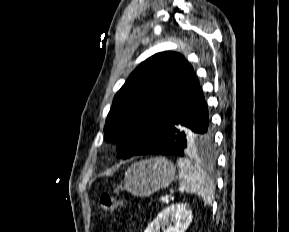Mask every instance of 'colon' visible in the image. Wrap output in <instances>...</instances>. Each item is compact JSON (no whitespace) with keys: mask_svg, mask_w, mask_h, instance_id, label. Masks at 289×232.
<instances>
[{"mask_svg":"<svg viewBox=\"0 0 289 232\" xmlns=\"http://www.w3.org/2000/svg\"><path fill=\"white\" fill-rule=\"evenodd\" d=\"M100 204L105 214L111 216L119 206L124 204V201L103 193L100 196Z\"/></svg>","mask_w":289,"mask_h":232,"instance_id":"5ec220e1","label":"colon"}]
</instances>
